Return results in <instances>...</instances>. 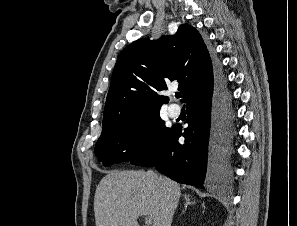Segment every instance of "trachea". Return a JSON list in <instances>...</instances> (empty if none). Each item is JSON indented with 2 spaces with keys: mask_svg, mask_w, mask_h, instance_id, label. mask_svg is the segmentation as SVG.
Returning <instances> with one entry per match:
<instances>
[{
  "mask_svg": "<svg viewBox=\"0 0 297 226\" xmlns=\"http://www.w3.org/2000/svg\"><path fill=\"white\" fill-rule=\"evenodd\" d=\"M175 96H176V98H180V97H181V93H180V92H177V93L175 94Z\"/></svg>",
  "mask_w": 297,
  "mask_h": 226,
  "instance_id": "trachea-1",
  "label": "trachea"
}]
</instances>
